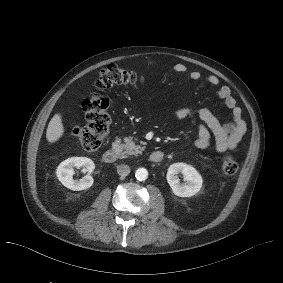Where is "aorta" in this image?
I'll return each mask as SVG.
<instances>
[{"label": "aorta", "mask_w": 283, "mask_h": 283, "mask_svg": "<svg viewBox=\"0 0 283 283\" xmlns=\"http://www.w3.org/2000/svg\"><path fill=\"white\" fill-rule=\"evenodd\" d=\"M135 177L139 181H144L148 177V171L145 168H138L135 172Z\"/></svg>", "instance_id": "aorta-1"}]
</instances>
